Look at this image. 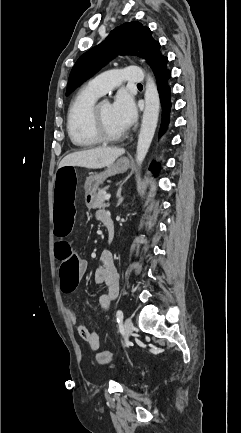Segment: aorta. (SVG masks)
<instances>
[{"instance_id": "1", "label": "aorta", "mask_w": 241, "mask_h": 433, "mask_svg": "<svg viewBox=\"0 0 241 433\" xmlns=\"http://www.w3.org/2000/svg\"><path fill=\"white\" fill-rule=\"evenodd\" d=\"M159 108L160 101L157 86L148 74L145 87V109L136 150V162L138 165L143 163L151 145L158 123Z\"/></svg>"}]
</instances>
